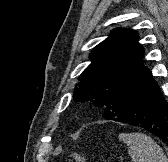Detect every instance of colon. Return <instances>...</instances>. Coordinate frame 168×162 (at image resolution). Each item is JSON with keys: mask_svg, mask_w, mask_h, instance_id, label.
I'll return each mask as SVG.
<instances>
[{"mask_svg": "<svg viewBox=\"0 0 168 162\" xmlns=\"http://www.w3.org/2000/svg\"><path fill=\"white\" fill-rule=\"evenodd\" d=\"M70 162H86V158L82 154L75 153L72 155V160Z\"/></svg>", "mask_w": 168, "mask_h": 162, "instance_id": "1", "label": "colon"}]
</instances>
